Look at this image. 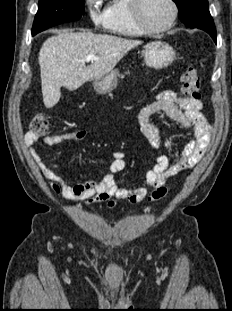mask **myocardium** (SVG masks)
I'll return each instance as SVG.
<instances>
[{
	"instance_id": "myocardium-1",
	"label": "myocardium",
	"mask_w": 232,
	"mask_h": 311,
	"mask_svg": "<svg viewBox=\"0 0 232 311\" xmlns=\"http://www.w3.org/2000/svg\"><path fill=\"white\" fill-rule=\"evenodd\" d=\"M129 9H130V14L131 18L134 22V24L143 32L147 34H158V33H163L171 29L174 24L176 23V20L178 18V6L175 0H168V2L171 5L172 8V15L167 24H165L162 27L159 28H152L149 25L146 24L142 17V12H141V5L143 0H129Z\"/></svg>"
}]
</instances>
